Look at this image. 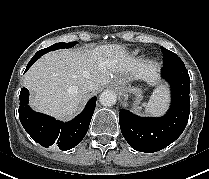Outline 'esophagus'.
<instances>
[{
  "mask_svg": "<svg viewBox=\"0 0 209 179\" xmlns=\"http://www.w3.org/2000/svg\"><path fill=\"white\" fill-rule=\"evenodd\" d=\"M118 98L121 100V101H124L126 98H127V95L125 93H120L118 95Z\"/></svg>",
  "mask_w": 209,
  "mask_h": 179,
  "instance_id": "1",
  "label": "esophagus"
}]
</instances>
